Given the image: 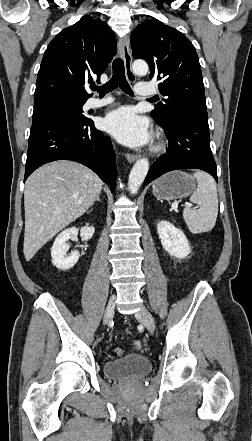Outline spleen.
I'll return each mask as SVG.
<instances>
[{
	"label": "spleen",
	"instance_id": "3e777b00",
	"mask_svg": "<svg viewBox=\"0 0 252 441\" xmlns=\"http://www.w3.org/2000/svg\"><path fill=\"white\" fill-rule=\"evenodd\" d=\"M197 189L190 197L192 203L198 204L199 209L184 208L183 218L188 229L193 234L208 232L213 229L218 215V195L216 182L209 174L195 171Z\"/></svg>",
	"mask_w": 252,
	"mask_h": 441
}]
</instances>
